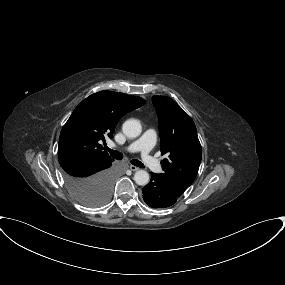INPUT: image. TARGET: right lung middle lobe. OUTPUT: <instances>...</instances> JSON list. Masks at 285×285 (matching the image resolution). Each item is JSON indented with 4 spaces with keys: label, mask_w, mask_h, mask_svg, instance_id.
Listing matches in <instances>:
<instances>
[{
    "label": "right lung middle lobe",
    "mask_w": 285,
    "mask_h": 285,
    "mask_svg": "<svg viewBox=\"0 0 285 285\" xmlns=\"http://www.w3.org/2000/svg\"><path fill=\"white\" fill-rule=\"evenodd\" d=\"M68 189L74 198L81 204L89 207H97L103 205L110 197L111 185L105 183H72L67 184Z\"/></svg>",
    "instance_id": "right-lung-middle-lobe-1"
}]
</instances>
